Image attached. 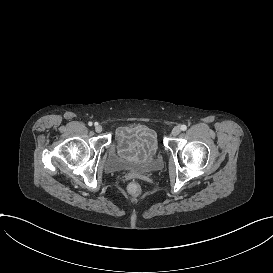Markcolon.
Returning a JSON list of instances; mask_svg holds the SVG:
<instances>
[{"label": "colon", "instance_id": "obj_1", "mask_svg": "<svg viewBox=\"0 0 273 273\" xmlns=\"http://www.w3.org/2000/svg\"><path fill=\"white\" fill-rule=\"evenodd\" d=\"M123 192L126 197L130 198L134 202L141 201L145 196V190L139 182L130 180L125 183Z\"/></svg>", "mask_w": 273, "mask_h": 273}]
</instances>
